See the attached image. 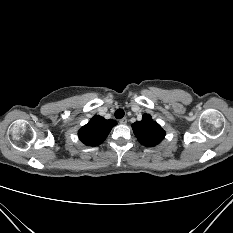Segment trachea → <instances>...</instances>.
<instances>
[{"label":"trachea","instance_id":"obj_1","mask_svg":"<svg viewBox=\"0 0 233 233\" xmlns=\"http://www.w3.org/2000/svg\"><path fill=\"white\" fill-rule=\"evenodd\" d=\"M124 115H125V112L122 109H118L115 112V118H117V119L123 118Z\"/></svg>","mask_w":233,"mask_h":233}]
</instances>
